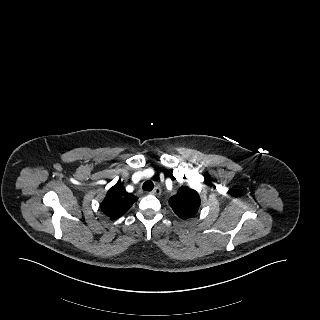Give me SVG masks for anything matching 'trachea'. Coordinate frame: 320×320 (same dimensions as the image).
<instances>
[{
	"label": "trachea",
	"mask_w": 320,
	"mask_h": 320,
	"mask_svg": "<svg viewBox=\"0 0 320 320\" xmlns=\"http://www.w3.org/2000/svg\"><path fill=\"white\" fill-rule=\"evenodd\" d=\"M153 187H154V184L150 180L146 181L142 186L144 191H151L153 189Z\"/></svg>",
	"instance_id": "trachea-1"
}]
</instances>
